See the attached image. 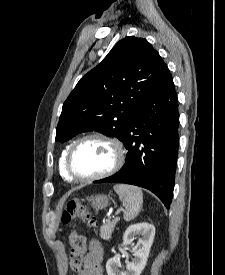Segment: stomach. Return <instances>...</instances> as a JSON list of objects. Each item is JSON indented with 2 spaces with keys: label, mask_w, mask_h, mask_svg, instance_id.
<instances>
[{
  "label": "stomach",
  "mask_w": 225,
  "mask_h": 275,
  "mask_svg": "<svg viewBox=\"0 0 225 275\" xmlns=\"http://www.w3.org/2000/svg\"><path fill=\"white\" fill-rule=\"evenodd\" d=\"M90 202H91V206L95 210H101L108 205L109 199L105 195H97L95 197H92L90 199Z\"/></svg>",
  "instance_id": "1"
}]
</instances>
